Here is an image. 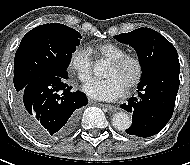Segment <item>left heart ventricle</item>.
Wrapping results in <instances>:
<instances>
[{
	"instance_id": "left-heart-ventricle-1",
	"label": "left heart ventricle",
	"mask_w": 190,
	"mask_h": 165,
	"mask_svg": "<svg viewBox=\"0 0 190 165\" xmlns=\"http://www.w3.org/2000/svg\"><path fill=\"white\" fill-rule=\"evenodd\" d=\"M135 76V67L133 65H128L123 69H117L114 66L110 64L106 77L107 78H117L124 87H126L129 82L134 78Z\"/></svg>"
}]
</instances>
